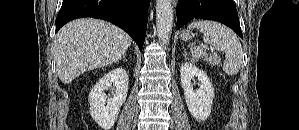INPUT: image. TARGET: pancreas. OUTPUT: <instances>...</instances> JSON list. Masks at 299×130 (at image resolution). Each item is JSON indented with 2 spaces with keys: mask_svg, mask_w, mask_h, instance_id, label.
I'll list each match as a JSON object with an SVG mask.
<instances>
[{
  "mask_svg": "<svg viewBox=\"0 0 299 130\" xmlns=\"http://www.w3.org/2000/svg\"><path fill=\"white\" fill-rule=\"evenodd\" d=\"M208 63L212 66L218 65L220 63V58L216 55H213L208 59Z\"/></svg>",
  "mask_w": 299,
  "mask_h": 130,
  "instance_id": "obj_1",
  "label": "pancreas"
}]
</instances>
